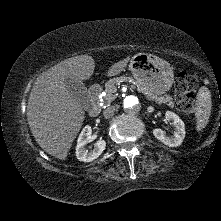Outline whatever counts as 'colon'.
<instances>
[{"mask_svg": "<svg viewBox=\"0 0 221 221\" xmlns=\"http://www.w3.org/2000/svg\"><path fill=\"white\" fill-rule=\"evenodd\" d=\"M198 79L188 72H180L175 80V101L179 110L192 113L194 111V94Z\"/></svg>", "mask_w": 221, "mask_h": 221, "instance_id": "1", "label": "colon"}]
</instances>
